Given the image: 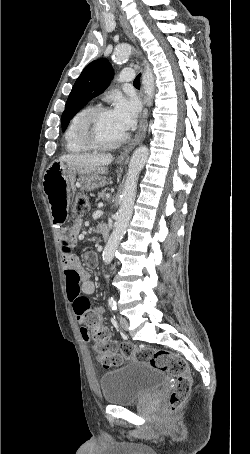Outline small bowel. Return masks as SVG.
<instances>
[{"label": "small bowel", "mask_w": 250, "mask_h": 454, "mask_svg": "<svg viewBox=\"0 0 250 454\" xmlns=\"http://www.w3.org/2000/svg\"><path fill=\"white\" fill-rule=\"evenodd\" d=\"M76 179L71 172L48 171L44 180V192L48 198L53 222L58 227L62 226L67 218L69 202L76 189ZM80 220H76L69 229H61L59 234L62 264L66 281L67 295L73 305L77 320L84 326L80 333L84 340L90 339L88 320L91 316L103 317V309L91 304L86 295H91L95 286L89 278V273L72 253V246L78 238ZM86 260L90 264L96 263V254L92 251L86 253Z\"/></svg>", "instance_id": "c3829d8e"}]
</instances>
